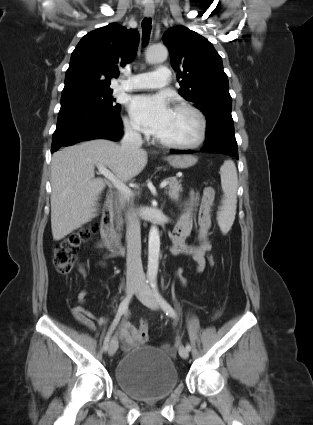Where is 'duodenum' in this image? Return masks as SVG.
I'll return each mask as SVG.
<instances>
[{"instance_id":"1","label":"duodenum","mask_w":313,"mask_h":425,"mask_svg":"<svg viewBox=\"0 0 313 425\" xmlns=\"http://www.w3.org/2000/svg\"><path fill=\"white\" fill-rule=\"evenodd\" d=\"M114 201V194L112 192L108 193L101 217L100 228L108 249L116 254H122L125 250L114 228Z\"/></svg>"}]
</instances>
